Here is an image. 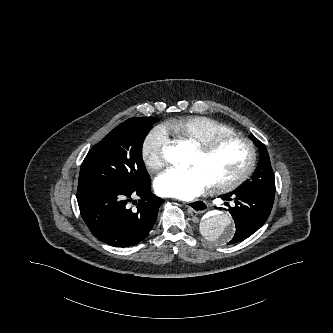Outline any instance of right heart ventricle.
Wrapping results in <instances>:
<instances>
[{"label": "right heart ventricle", "mask_w": 333, "mask_h": 333, "mask_svg": "<svg viewBox=\"0 0 333 333\" xmlns=\"http://www.w3.org/2000/svg\"><path fill=\"white\" fill-rule=\"evenodd\" d=\"M176 139L188 141L194 145L204 143L218 136L233 134L234 130L216 120L189 116L170 120L165 125Z\"/></svg>", "instance_id": "obj_1"}]
</instances>
